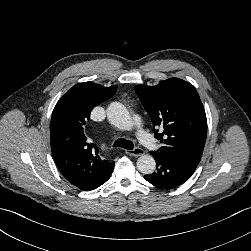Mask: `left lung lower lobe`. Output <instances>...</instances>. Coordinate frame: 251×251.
Listing matches in <instances>:
<instances>
[{"label": "left lung lower lobe", "instance_id": "left-lung-lower-lobe-1", "mask_svg": "<svg viewBox=\"0 0 251 251\" xmlns=\"http://www.w3.org/2000/svg\"><path fill=\"white\" fill-rule=\"evenodd\" d=\"M156 161V171L144 178L152 185L172 189L187 181L194 172V168L181 161L163 156L160 153L150 152Z\"/></svg>", "mask_w": 251, "mask_h": 251}]
</instances>
